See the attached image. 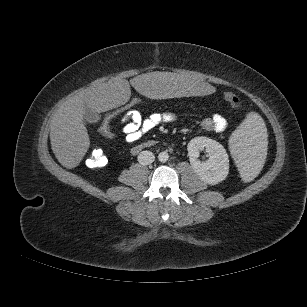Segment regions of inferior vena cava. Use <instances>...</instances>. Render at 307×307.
<instances>
[{
  "label": "inferior vena cava",
  "instance_id": "inferior-vena-cava-1",
  "mask_svg": "<svg viewBox=\"0 0 307 307\" xmlns=\"http://www.w3.org/2000/svg\"><path fill=\"white\" fill-rule=\"evenodd\" d=\"M137 159L141 165H149L155 160V156L151 151L146 150L140 152Z\"/></svg>",
  "mask_w": 307,
  "mask_h": 307
}]
</instances>
